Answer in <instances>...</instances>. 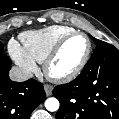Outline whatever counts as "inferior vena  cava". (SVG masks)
Masks as SVG:
<instances>
[{
	"label": "inferior vena cava",
	"instance_id": "obj_1",
	"mask_svg": "<svg viewBox=\"0 0 119 119\" xmlns=\"http://www.w3.org/2000/svg\"><path fill=\"white\" fill-rule=\"evenodd\" d=\"M10 79L17 82H23L33 77V74L19 67H12L9 73Z\"/></svg>",
	"mask_w": 119,
	"mask_h": 119
}]
</instances>
